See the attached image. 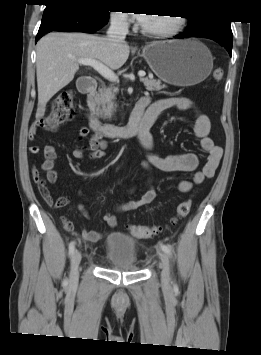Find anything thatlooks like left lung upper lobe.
Here are the masks:
<instances>
[{
	"mask_svg": "<svg viewBox=\"0 0 261 355\" xmlns=\"http://www.w3.org/2000/svg\"><path fill=\"white\" fill-rule=\"evenodd\" d=\"M189 25L187 26L186 31L188 32H198L204 27L212 24V23H223L229 24L230 21L221 20V19H209V18H188Z\"/></svg>",
	"mask_w": 261,
	"mask_h": 355,
	"instance_id": "obj_1",
	"label": "left lung upper lobe"
}]
</instances>
